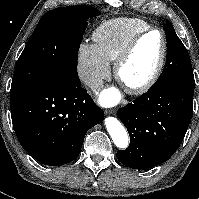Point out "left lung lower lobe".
I'll list each match as a JSON object with an SVG mask.
<instances>
[{"label":"left lung lower lobe","instance_id":"obj_1","mask_svg":"<svg viewBox=\"0 0 199 199\" xmlns=\"http://www.w3.org/2000/svg\"><path fill=\"white\" fill-rule=\"evenodd\" d=\"M195 82L149 89L118 111L130 145L117 152L127 167L148 169L167 161L180 146L192 118Z\"/></svg>","mask_w":199,"mask_h":199}]
</instances>
